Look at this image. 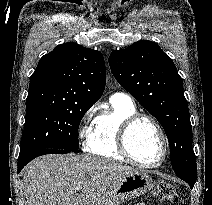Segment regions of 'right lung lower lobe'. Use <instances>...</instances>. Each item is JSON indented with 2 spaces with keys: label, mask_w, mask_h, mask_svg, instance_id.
Wrapping results in <instances>:
<instances>
[{
  "label": "right lung lower lobe",
  "mask_w": 212,
  "mask_h": 205,
  "mask_svg": "<svg viewBox=\"0 0 212 205\" xmlns=\"http://www.w3.org/2000/svg\"><path fill=\"white\" fill-rule=\"evenodd\" d=\"M73 152L71 150H66V149H56V148H42V149H37L34 151H31L24 156H19L18 158V172L22 170V168L28 164L32 159L45 155V154H53V153H69Z\"/></svg>",
  "instance_id": "1"
}]
</instances>
